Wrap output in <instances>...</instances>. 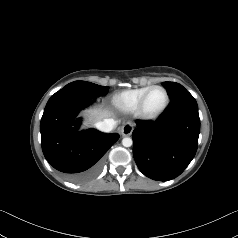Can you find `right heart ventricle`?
<instances>
[{
  "label": "right heart ventricle",
  "instance_id": "obj_1",
  "mask_svg": "<svg viewBox=\"0 0 238 238\" xmlns=\"http://www.w3.org/2000/svg\"><path fill=\"white\" fill-rule=\"evenodd\" d=\"M150 87L144 86L123 91L113 97V105L120 111L134 112L138 107L141 97Z\"/></svg>",
  "mask_w": 238,
  "mask_h": 238
}]
</instances>
